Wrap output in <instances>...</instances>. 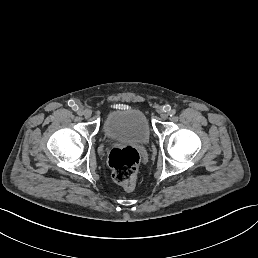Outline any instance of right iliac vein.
<instances>
[{
  "label": "right iliac vein",
  "mask_w": 258,
  "mask_h": 258,
  "mask_svg": "<svg viewBox=\"0 0 258 258\" xmlns=\"http://www.w3.org/2000/svg\"><path fill=\"white\" fill-rule=\"evenodd\" d=\"M91 114H92L91 111L88 110V109L83 111V116H84V117H87V118H88V117L91 116Z\"/></svg>",
  "instance_id": "63e3f726"
}]
</instances>
